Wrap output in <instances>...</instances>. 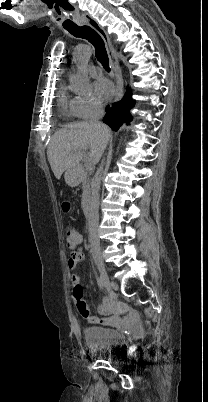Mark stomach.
I'll return each mask as SVG.
<instances>
[{
    "mask_svg": "<svg viewBox=\"0 0 208 402\" xmlns=\"http://www.w3.org/2000/svg\"><path fill=\"white\" fill-rule=\"evenodd\" d=\"M64 180L68 186H71V188H75V186H79L81 182V178L79 174L76 172V168H69V170H66L64 174Z\"/></svg>",
    "mask_w": 208,
    "mask_h": 402,
    "instance_id": "stomach-1",
    "label": "stomach"
}]
</instances>
